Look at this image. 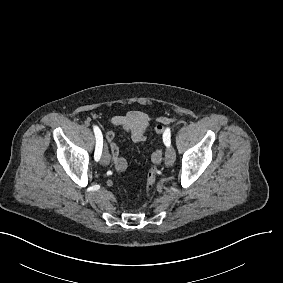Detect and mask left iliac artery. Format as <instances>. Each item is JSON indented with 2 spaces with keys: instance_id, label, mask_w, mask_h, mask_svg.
I'll list each match as a JSON object with an SVG mask.
<instances>
[{
  "instance_id": "left-iliac-artery-1",
  "label": "left iliac artery",
  "mask_w": 283,
  "mask_h": 283,
  "mask_svg": "<svg viewBox=\"0 0 283 283\" xmlns=\"http://www.w3.org/2000/svg\"><path fill=\"white\" fill-rule=\"evenodd\" d=\"M163 142L167 147L170 146L171 141H170V129L169 128H167L163 134Z\"/></svg>"
}]
</instances>
